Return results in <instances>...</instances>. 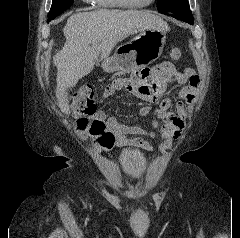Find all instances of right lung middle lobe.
<instances>
[{
  "mask_svg": "<svg viewBox=\"0 0 240 238\" xmlns=\"http://www.w3.org/2000/svg\"><path fill=\"white\" fill-rule=\"evenodd\" d=\"M73 1L74 0H53L51 9L48 14V22L69 8Z\"/></svg>",
  "mask_w": 240,
  "mask_h": 238,
  "instance_id": "obj_1",
  "label": "right lung middle lobe"
}]
</instances>
